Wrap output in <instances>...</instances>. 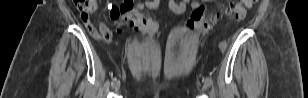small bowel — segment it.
Instances as JSON below:
<instances>
[{
	"instance_id": "1",
	"label": "small bowel",
	"mask_w": 308,
	"mask_h": 98,
	"mask_svg": "<svg viewBox=\"0 0 308 98\" xmlns=\"http://www.w3.org/2000/svg\"><path fill=\"white\" fill-rule=\"evenodd\" d=\"M159 5V0H152V1H136L134 4L132 2V8L131 9H140L141 12L145 9V8H149V9H155L157 8ZM203 6V2L202 1H193V0H179V1H175V0H170L169 1V7L170 9L176 13V14H182L186 11L187 7H190L191 9L195 10L199 7ZM141 15H145L143 13H141ZM112 18L114 20H117V17H113ZM97 25H98V29L101 33L102 36H105L107 34H111L108 26L106 25V23L104 22L103 19L101 18H97ZM220 48L223 49L224 48V43H221Z\"/></svg>"
}]
</instances>
